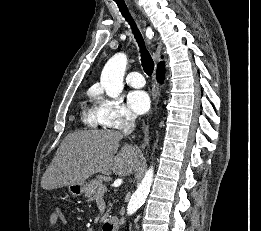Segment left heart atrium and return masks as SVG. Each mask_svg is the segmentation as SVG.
<instances>
[{"label":"left heart atrium","instance_id":"obj_1","mask_svg":"<svg viewBox=\"0 0 261 231\" xmlns=\"http://www.w3.org/2000/svg\"><path fill=\"white\" fill-rule=\"evenodd\" d=\"M128 104L136 114H144L150 108V98L145 91L135 90L128 94Z\"/></svg>","mask_w":261,"mask_h":231}]
</instances>
